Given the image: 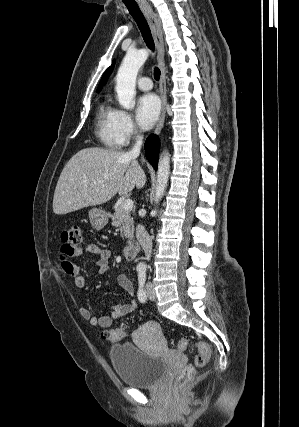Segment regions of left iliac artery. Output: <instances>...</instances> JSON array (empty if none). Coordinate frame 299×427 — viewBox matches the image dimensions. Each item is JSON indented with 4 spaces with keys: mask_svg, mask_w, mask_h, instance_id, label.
<instances>
[{
    "mask_svg": "<svg viewBox=\"0 0 299 427\" xmlns=\"http://www.w3.org/2000/svg\"><path fill=\"white\" fill-rule=\"evenodd\" d=\"M145 282H146V272L144 269H142L139 271V274H138L139 288H138L137 296L140 302L146 301V294L144 290Z\"/></svg>",
    "mask_w": 299,
    "mask_h": 427,
    "instance_id": "44dca946",
    "label": "left iliac artery"
}]
</instances>
